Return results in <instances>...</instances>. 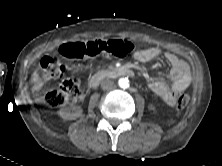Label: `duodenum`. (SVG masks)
<instances>
[{
    "label": "duodenum",
    "mask_w": 222,
    "mask_h": 166,
    "mask_svg": "<svg viewBox=\"0 0 222 166\" xmlns=\"http://www.w3.org/2000/svg\"><path fill=\"white\" fill-rule=\"evenodd\" d=\"M106 76H133V71L126 67H119L109 71L108 73H95L89 80L90 87H97Z\"/></svg>",
    "instance_id": "410a0bca"
}]
</instances>
